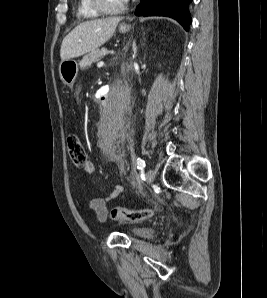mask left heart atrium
<instances>
[{"label": "left heart atrium", "instance_id": "left-heart-atrium-1", "mask_svg": "<svg viewBox=\"0 0 267 298\" xmlns=\"http://www.w3.org/2000/svg\"><path fill=\"white\" fill-rule=\"evenodd\" d=\"M124 2H127L128 0H123Z\"/></svg>", "mask_w": 267, "mask_h": 298}]
</instances>
